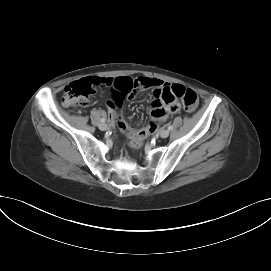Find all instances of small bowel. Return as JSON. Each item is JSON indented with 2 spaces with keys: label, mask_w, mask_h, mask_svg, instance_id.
<instances>
[{
  "label": "small bowel",
  "mask_w": 271,
  "mask_h": 271,
  "mask_svg": "<svg viewBox=\"0 0 271 271\" xmlns=\"http://www.w3.org/2000/svg\"><path fill=\"white\" fill-rule=\"evenodd\" d=\"M96 83L97 92L106 97L109 108V116L116 122L121 132L126 134L133 142H138L139 132L132 129L119 115L118 107L134 95L139 94L140 89L154 88L155 100L151 104L149 114L153 122H160L168 118L171 114L179 111L177 102L166 104L162 99V92L171 85L157 78L147 76H121L118 79L112 77H102Z\"/></svg>",
  "instance_id": "small-bowel-1"
}]
</instances>
